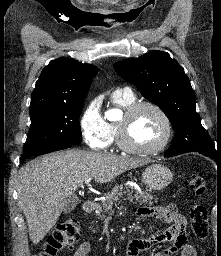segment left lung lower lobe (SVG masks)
I'll list each match as a JSON object with an SVG mask.
<instances>
[{"instance_id":"1","label":"left lung lower lobe","mask_w":221,"mask_h":256,"mask_svg":"<svg viewBox=\"0 0 221 256\" xmlns=\"http://www.w3.org/2000/svg\"><path fill=\"white\" fill-rule=\"evenodd\" d=\"M186 152H198L211 159L217 161V164L221 163V151L216 149L214 145L210 144H193L189 147H170L165 153V157H172Z\"/></svg>"}]
</instances>
